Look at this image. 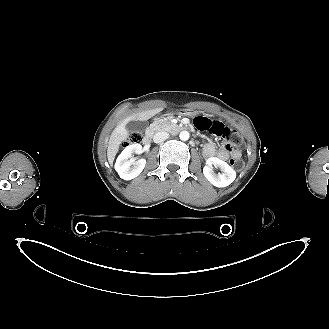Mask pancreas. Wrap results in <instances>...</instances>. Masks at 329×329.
<instances>
[{
	"mask_svg": "<svg viewBox=\"0 0 329 329\" xmlns=\"http://www.w3.org/2000/svg\"><path fill=\"white\" fill-rule=\"evenodd\" d=\"M153 127L156 131H168L171 133L176 132L178 129V126L168 118L158 119L153 123Z\"/></svg>",
	"mask_w": 329,
	"mask_h": 329,
	"instance_id": "cf45deb5",
	"label": "pancreas"
}]
</instances>
